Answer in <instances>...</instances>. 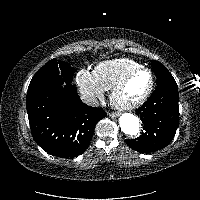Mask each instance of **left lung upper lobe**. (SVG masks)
<instances>
[{"mask_svg": "<svg viewBox=\"0 0 200 200\" xmlns=\"http://www.w3.org/2000/svg\"><path fill=\"white\" fill-rule=\"evenodd\" d=\"M152 68L157 77V85L176 84L171 73L159 62L152 60Z\"/></svg>", "mask_w": 200, "mask_h": 200, "instance_id": "5c2ea615", "label": "left lung upper lobe"}]
</instances>
